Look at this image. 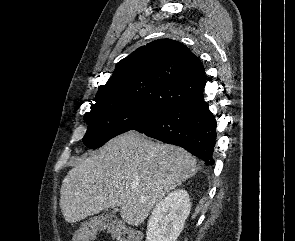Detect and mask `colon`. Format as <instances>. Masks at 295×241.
Instances as JSON below:
<instances>
[{"label":"colon","instance_id":"colon-1","mask_svg":"<svg viewBox=\"0 0 295 241\" xmlns=\"http://www.w3.org/2000/svg\"><path fill=\"white\" fill-rule=\"evenodd\" d=\"M105 225L117 241H137L134 231L122 221L118 219H107ZM94 233L95 229L89 227L81 228L74 235V241H89Z\"/></svg>","mask_w":295,"mask_h":241}]
</instances>
